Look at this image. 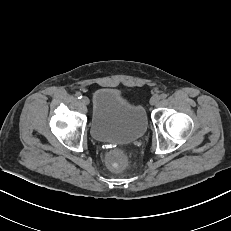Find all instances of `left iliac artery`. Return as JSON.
<instances>
[{
    "mask_svg": "<svg viewBox=\"0 0 231 231\" xmlns=\"http://www.w3.org/2000/svg\"><path fill=\"white\" fill-rule=\"evenodd\" d=\"M167 97V94H165V93H162L161 95H160V98L161 99H165Z\"/></svg>",
    "mask_w": 231,
    "mask_h": 231,
    "instance_id": "44dca946",
    "label": "left iliac artery"
}]
</instances>
